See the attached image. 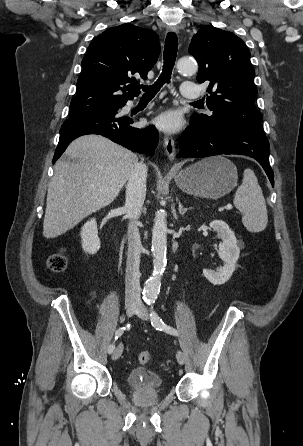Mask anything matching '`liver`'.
Listing matches in <instances>:
<instances>
[{
    "mask_svg": "<svg viewBox=\"0 0 303 446\" xmlns=\"http://www.w3.org/2000/svg\"><path fill=\"white\" fill-rule=\"evenodd\" d=\"M54 168L49 184L43 236L56 238L118 196L138 163L130 150L98 135L75 139Z\"/></svg>",
    "mask_w": 303,
    "mask_h": 446,
    "instance_id": "1",
    "label": "liver"
}]
</instances>
